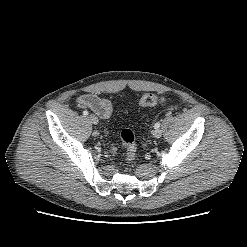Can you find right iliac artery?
Returning <instances> with one entry per match:
<instances>
[{
  "label": "right iliac artery",
  "mask_w": 247,
  "mask_h": 247,
  "mask_svg": "<svg viewBox=\"0 0 247 247\" xmlns=\"http://www.w3.org/2000/svg\"><path fill=\"white\" fill-rule=\"evenodd\" d=\"M89 113L87 110L83 111V115L87 116Z\"/></svg>",
  "instance_id": "obj_1"
}]
</instances>
